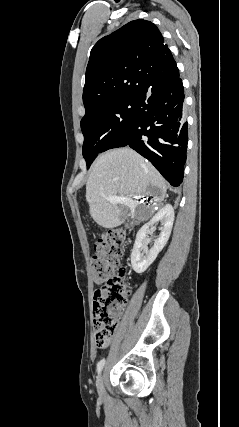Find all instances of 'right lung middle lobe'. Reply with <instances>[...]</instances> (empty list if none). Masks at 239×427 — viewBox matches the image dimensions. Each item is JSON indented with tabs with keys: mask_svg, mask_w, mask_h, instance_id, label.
Masks as SVG:
<instances>
[{
	"mask_svg": "<svg viewBox=\"0 0 239 427\" xmlns=\"http://www.w3.org/2000/svg\"><path fill=\"white\" fill-rule=\"evenodd\" d=\"M136 98H120L97 103L81 120L84 135L83 157L89 168L100 152L124 144L129 137Z\"/></svg>",
	"mask_w": 239,
	"mask_h": 427,
	"instance_id": "obj_1",
	"label": "right lung middle lobe"
}]
</instances>
